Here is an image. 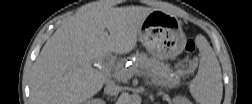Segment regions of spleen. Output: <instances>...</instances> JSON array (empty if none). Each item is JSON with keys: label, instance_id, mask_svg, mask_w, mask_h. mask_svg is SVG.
Wrapping results in <instances>:
<instances>
[{"label": "spleen", "instance_id": "1", "mask_svg": "<svg viewBox=\"0 0 252 104\" xmlns=\"http://www.w3.org/2000/svg\"><path fill=\"white\" fill-rule=\"evenodd\" d=\"M200 51L198 73L189 84V91L200 104H219L222 100V73L214 50L201 35L196 37Z\"/></svg>", "mask_w": 252, "mask_h": 104}]
</instances>
